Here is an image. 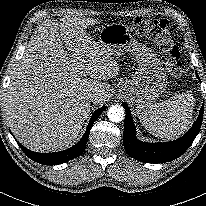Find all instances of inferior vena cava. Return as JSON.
I'll use <instances>...</instances> for the list:
<instances>
[{"label": "inferior vena cava", "instance_id": "obj_1", "mask_svg": "<svg viewBox=\"0 0 206 206\" xmlns=\"http://www.w3.org/2000/svg\"><path fill=\"white\" fill-rule=\"evenodd\" d=\"M100 99V95L97 93H90L89 100L92 102L98 101Z\"/></svg>", "mask_w": 206, "mask_h": 206}]
</instances>
